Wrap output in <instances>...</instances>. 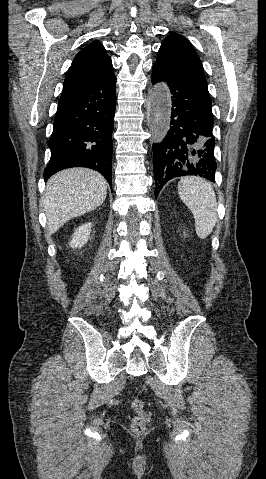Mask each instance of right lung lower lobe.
<instances>
[{
  "mask_svg": "<svg viewBox=\"0 0 266 479\" xmlns=\"http://www.w3.org/2000/svg\"><path fill=\"white\" fill-rule=\"evenodd\" d=\"M115 107V75L63 88L48 141L51 158L45 181L62 169L87 167L103 174L111 186Z\"/></svg>",
  "mask_w": 266,
  "mask_h": 479,
  "instance_id": "98d812e1",
  "label": "right lung lower lobe"
}]
</instances>
